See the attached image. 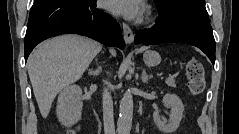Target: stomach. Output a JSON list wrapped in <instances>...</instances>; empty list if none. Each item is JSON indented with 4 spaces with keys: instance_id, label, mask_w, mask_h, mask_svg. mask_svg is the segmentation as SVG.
I'll list each match as a JSON object with an SVG mask.
<instances>
[{
    "instance_id": "obj_1",
    "label": "stomach",
    "mask_w": 239,
    "mask_h": 134,
    "mask_svg": "<svg viewBox=\"0 0 239 134\" xmlns=\"http://www.w3.org/2000/svg\"><path fill=\"white\" fill-rule=\"evenodd\" d=\"M143 59L148 66H157L161 62V57L156 51L148 50L143 54Z\"/></svg>"
}]
</instances>
